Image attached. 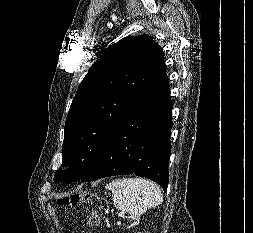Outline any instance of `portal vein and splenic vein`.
<instances>
[{"label":"portal vein and splenic vein","instance_id":"18ae733b","mask_svg":"<svg viewBox=\"0 0 253 233\" xmlns=\"http://www.w3.org/2000/svg\"><path fill=\"white\" fill-rule=\"evenodd\" d=\"M118 216H119V217L124 216V212H123V213H122V212H120V213L118 214Z\"/></svg>","mask_w":253,"mask_h":233}]
</instances>
